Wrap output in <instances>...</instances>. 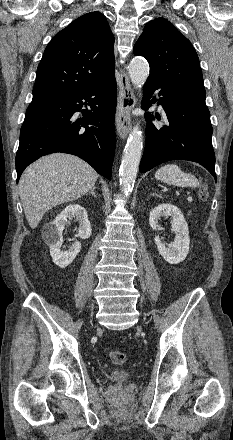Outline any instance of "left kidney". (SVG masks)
<instances>
[{
	"mask_svg": "<svg viewBox=\"0 0 233 440\" xmlns=\"http://www.w3.org/2000/svg\"><path fill=\"white\" fill-rule=\"evenodd\" d=\"M172 217L171 231L176 234L174 241L166 245L161 241L159 236H155L154 240L160 255L170 264H178L182 262L189 252L190 238L188 225L180 209L172 204H160L149 215V223L153 230H156L158 220L161 217Z\"/></svg>",
	"mask_w": 233,
	"mask_h": 440,
	"instance_id": "left-kidney-1",
	"label": "left kidney"
}]
</instances>
